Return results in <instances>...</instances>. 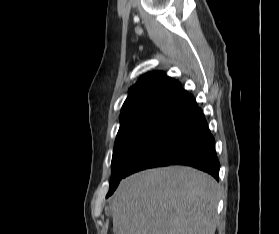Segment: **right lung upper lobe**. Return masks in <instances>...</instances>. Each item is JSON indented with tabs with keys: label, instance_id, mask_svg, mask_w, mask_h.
Wrapping results in <instances>:
<instances>
[{
	"label": "right lung upper lobe",
	"instance_id": "1",
	"mask_svg": "<svg viewBox=\"0 0 279 234\" xmlns=\"http://www.w3.org/2000/svg\"><path fill=\"white\" fill-rule=\"evenodd\" d=\"M187 94L180 82L161 71L150 72L131 87L120 115L152 107L172 108Z\"/></svg>",
	"mask_w": 279,
	"mask_h": 234
}]
</instances>
